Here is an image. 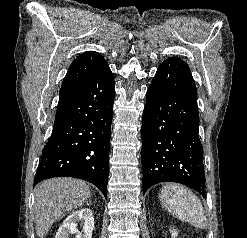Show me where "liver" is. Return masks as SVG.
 Here are the masks:
<instances>
[{"label":"liver","instance_id":"liver-1","mask_svg":"<svg viewBox=\"0 0 247 238\" xmlns=\"http://www.w3.org/2000/svg\"><path fill=\"white\" fill-rule=\"evenodd\" d=\"M90 197L88 185L72 178H54L35 188L34 216L36 234L44 238L52 224L65 211L81 207Z\"/></svg>","mask_w":247,"mask_h":238}]
</instances>
